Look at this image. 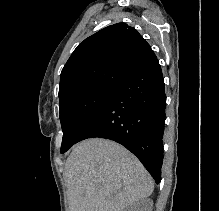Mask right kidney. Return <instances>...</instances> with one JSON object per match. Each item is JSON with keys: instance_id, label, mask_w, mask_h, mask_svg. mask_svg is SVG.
Masks as SVG:
<instances>
[{"instance_id": "right-kidney-1", "label": "right kidney", "mask_w": 219, "mask_h": 211, "mask_svg": "<svg viewBox=\"0 0 219 211\" xmlns=\"http://www.w3.org/2000/svg\"><path fill=\"white\" fill-rule=\"evenodd\" d=\"M153 201L150 197L147 199H138L129 205L128 211H152Z\"/></svg>"}]
</instances>
